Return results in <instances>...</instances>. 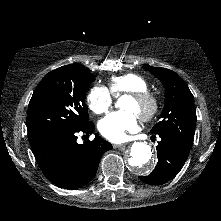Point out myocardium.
<instances>
[{"label":"myocardium","mask_w":221,"mask_h":221,"mask_svg":"<svg viewBox=\"0 0 221 221\" xmlns=\"http://www.w3.org/2000/svg\"><path fill=\"white\" fill-rule=\"evenodd\" d=\"M129 96L144 107V110L138 114L140 120L147 122L154 118L159 110V100L154 93L146 90L131 92Z\"/></svg>","instance_id":"myocardium-1"}]
</instances>
